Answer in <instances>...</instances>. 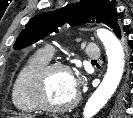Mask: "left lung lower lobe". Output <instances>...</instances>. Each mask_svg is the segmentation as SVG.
Listing matches in <instances>:
<instances>
[{
    "mask_svg": "<svg viewBox=\"0 0 133 118\" xmlns=\"http://www.w3.org/2000/svg\"><path fill=\"white\" fill-rule=\"evenodd\" d=\"M113 32L115 33V35L120 39L121 38V30H120V27L119 25L116 26L114 29H113ZM123 38V41H125V36L122 37Z\"/></svg>",
    "mask_w": 133,
    "mask_h": 118,
    "instance_id": "1",
    "label": "left lung lower lobe"
}]
</instances>
